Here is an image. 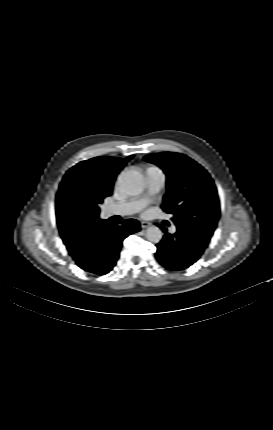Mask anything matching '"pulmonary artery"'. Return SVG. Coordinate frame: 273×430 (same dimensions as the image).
Returning <instances> with one entry per match:
<instances>
[{"label":"pulmonary artery","instance_id":"1","mask_svg":"<svg viewBox=\"0 0 273 430\" xmlns=\"http://www.w3.org/2000/svg\"><path fill=\"white\" fill-rule=\"evenodd\" d=\"M164 174L162 170L156 167L149 168L146 171V182H147V192L141 198L131 201L123 202L105 208V214L107 217L112 216H125L131 215L140 211L144 206H146L151 197L157 194L164 185ZM171 232H176V227L171 228Z\"/></svg>","mask_w":273,"mask_h":430}]
</instances>
